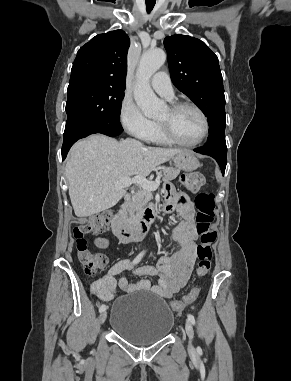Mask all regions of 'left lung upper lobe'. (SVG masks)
Wrapping results in <instances>:
<instances>
[{"instance_id": "obj_1", "label": "left lung upper lobe", "mask_w": 291, "mask_h": 381, "mask_svg": "<svg viewBox=\"0 0 291 381\" xmlns=\"http://www.w3.org/2000/svg\"><path fill=\"white\" fill-rule=\"evenodd\" d=\"M173 84L206 115L207 142L225 141V95L217 56L196 38L173 35L164 39Z\"/></svg>"}]
</instances>
